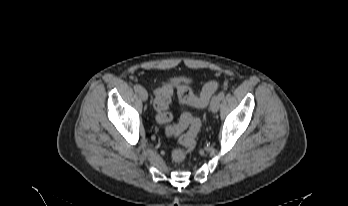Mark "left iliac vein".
<instances>
[{
  "label": "left iliac vein",
  "mask_w": 348,
  "mask_h": 206,
  "mask_svg": "<svg viewBox=\"0 0 348 206\" xmlns=\"http://www.w3.org/2000/svg\"><path fill=\"white\" fill-rule=\"evenodd\" d=\"M219 106H220V99H219L218 95H215L211 100L210 110L213 113H216L219 109Z\"/></svg>",
  "instance_id": "left-iliac-vein-1"
}]
</instances>
